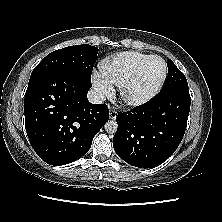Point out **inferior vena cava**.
<instances>
[{"mask_svg": "<svg viewBox=\"0 0 222 222\" xmlns=\"http://www.w3.org/2000/svg\"><path fill=\"white\" fill-rule=\"evenodd\" d=\"M87 97H88L89 102L92 103V104L104 103V101L106 99L104 94H102L99 91H95V90H90L88 92Z\"/></svg>", "mask_w": 222, "mask_h": 222, "instance_id": "1", "label": "inferior vena cava"}]
</instances>
